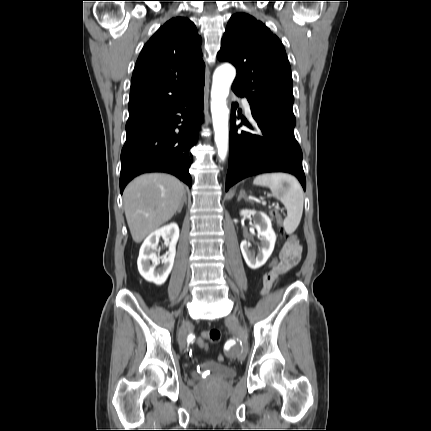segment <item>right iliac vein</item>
Returning <instances> with one entry per match:
<instances>
[{"instance_id": "obj_1", "label": "right iliac vein", "mask_w": 431, "mask_h": 431, "mask_svg": "<svg viewBox=\"0 0 431 431\" xmlns=\"http://www.w3.org/2000/svg\"><path fill=\"white\" fill-rule=\"evenodd\" d=\"M178 342H179L180 348H184L185 347V344H186V328H185V325H182V327L179 330Z\"/></svg>"}]
</instances>
